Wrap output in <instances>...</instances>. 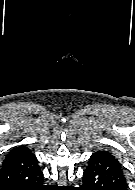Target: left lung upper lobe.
<instances>
[{"label":"left lung upper lobe","mask_w":135,"mask_h":190,"mask_svg":"<svg viewBox=\"0 0 135 190\" xmlns=\"http://www.w3.org/2000/svg\"><path fill=\"white\" fill-rule=\"evenodd\" d=\"M101 153L117 161V159H115V157L113 155H111V153H109L107 151H103Z\"/></svg>","instance_id":"5c2ea615"}]
</instances>
